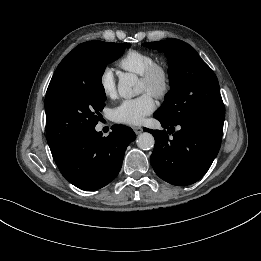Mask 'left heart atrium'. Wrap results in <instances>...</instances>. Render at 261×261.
<instances>
[{
  "instance_id": "obj_1",
  "label": "left heart atrium",
  "mask_w": 261,
  "mask_h": 261,
  "mask_svg": "<svg viewBox=\"0 0 261 261\" xmlns=\"http://www.w3.org/2000/svg\"><path fill=\"white\" fill-rule=\"evenodd\" d=\"M156 108L151 95L143 94L137 98L126 99L112 110L114 121L127 125H139Z\"/></svg>"
}]
</instances>
